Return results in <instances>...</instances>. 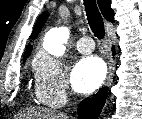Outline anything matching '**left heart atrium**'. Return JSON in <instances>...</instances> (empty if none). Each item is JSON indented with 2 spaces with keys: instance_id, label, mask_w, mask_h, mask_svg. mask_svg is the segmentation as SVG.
Returning <instances> with one entry per match:
<instances>
[{
  "instance_id": "obj_1",
  "label": "left heart atrium",
  "mask_w": 142,
  "mask_h": 119,
  "mask_svg": "<svg viewBox=\"0 0 142 119\" xmlns=\"http://www.w3.org/2000/svg\"><path fill=\"white\" fill-rule=\"evenodd\" d=\"M105 74V65L99 58H83L77 62L73 69L72 86L79 93H90L100 86Z\"/></svg>"
}]
</instances>
